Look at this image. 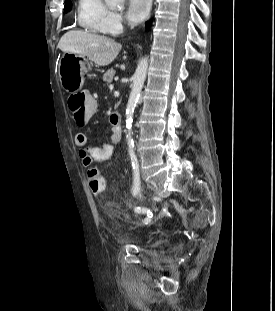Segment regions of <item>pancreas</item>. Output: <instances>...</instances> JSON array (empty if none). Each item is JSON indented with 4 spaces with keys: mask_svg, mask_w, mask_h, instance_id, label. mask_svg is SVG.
<instances>
[{
    "mask_svg": "<svg viewBox=\"0 0 275 311\" xmlns=\"http://www.w3.org/2000/svg\"><path fill=\"white\" fill-rule=\"evenodd\" d=\"M115 74L114 69H109L104 75H103V81H105L107 84L111 83L113 80Z\"/></svg>",
    "mask_w": 275,
    "mask_h": 311,
    "instance_id": "1",
    "label": "pancreas"
}]
</instances>
